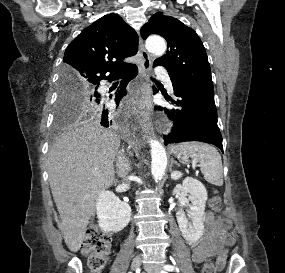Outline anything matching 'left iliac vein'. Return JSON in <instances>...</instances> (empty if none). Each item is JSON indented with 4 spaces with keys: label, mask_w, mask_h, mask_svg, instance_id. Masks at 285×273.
Listing matches in <instances>:
<instances>
[{
    "label": "left iliac vein",
    "mask_w": 285,
    "mask_h": 273,
    "mask_svg": "<svg viewBox=\"0 0 285 273\" xmlns=\"http://www.w3.org/2000/svg\"><path fill=\"white\" fill-rule=\"evenodd\" d=\"M147 273H161V267L159 265H145Z\"/></svg>",
    "instance_id": "left-iliac-vein-1"
}]
</instances>
